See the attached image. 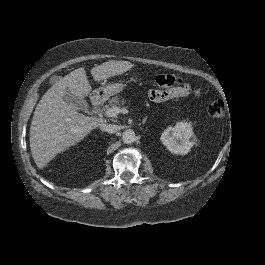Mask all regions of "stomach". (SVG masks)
<instances>
[{
  "label": "stomach",
  "mask_w": 265,
  "mask_h": 265,
  "mask_svg": "<svg viewBox=\"0 0 265 265\" xmlns=\"http://www.w3.org/2000/svg\"><path fill=\"white\" fill-rule=\"evenodd\" d=\"M123 85L116 83V84H106L103 85L102 87L98 88L95 92L96 94L104 97H109L115 93H118L122 90Z\"/></svg>",
  "instance_id": "obj_1"
}]
</instances>
